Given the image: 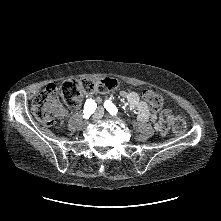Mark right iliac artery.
<instances>
[{
  "label": "right iliac artery",
  "mask_w": 221,
  "mask_h": 221,
  "mask_svg": "<svg viewBox=\"0 0 221 221\" xmlns=\"http://www.w3.org/2000/svg\"><path fill=\"white\" fill-rule=\"evenodd\" d=\"M96 108L97 104L95 103V101L92 99H88L84 105L83 117L85 119H88L90 115L95 112Z\"/></svg>",
  "instance_id": "right-iliac-artery-1"
}]
</instances>
